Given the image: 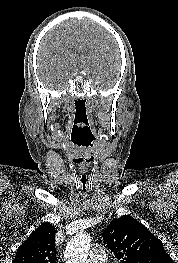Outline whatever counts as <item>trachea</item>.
Listing matches in <instances>:
<instances>
[{"label":"trachea","mask_w":178,"mask_h":263,"mask_svg":"<svg viewBox=\"0 0 178 263\" xmlns=\"http://www.w3.org/2000/svg\"><path fill=\"white\" fill-rule=\"evenodd\" d=\"M81 182H82V186H83V191H85L86 190V182H87V178L85 175L82 176Z\"/></svg>","instance_id":"1"}]
</instances>
